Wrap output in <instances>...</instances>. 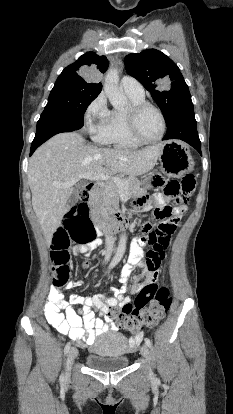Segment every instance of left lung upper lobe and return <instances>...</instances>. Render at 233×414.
<instances>
[{"instance_id": "left-lung-upper-lobe-1", "label": "left lung upper lobe", "mask_w": 233, "mask_h": 414, "mask_svg": "<svg viewBox=\"0 0 233 414\" xmlns=\"http://www.w3.org/2000/svg\"><path fill=\"white\" fill-rule=\"evenodd\" d=\"M127 73L136 78L161 109L166 124L185 105L191 104V95L178 66L165 54L148 49L125 57Z\"/></svg>"}]
</instances>
